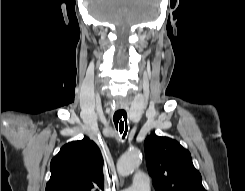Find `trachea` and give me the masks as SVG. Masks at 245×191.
<instances>
[{"mask_svg":"<svg viewBox=\"0 0 245 191\" xmlns=\"http://www.w3.org/2000/svg\"><path fill=\"white\" fill-rule=\"evenodd\" d=\"M113 121L117 130L121 137L124 139L128 132V125H127V112L124 109H119L115 112Z\"/></svg>","mask_w":245,"mask_h":191,"instance_id":"1","label":"trachea"}]
</instances>
